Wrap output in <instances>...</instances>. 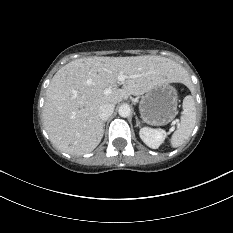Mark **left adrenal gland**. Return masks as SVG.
Masks as SVG:
<instances>
[{
  "label": "left adrenal gland",
  "instance_id": "left-adrenal-gland-1",
  "mask_svg": "<svg viewBox=\"0 0 233 233\" xmlns=\"http://www.w3.org/2000/svg\"><path fill=\"white\" fill-rule=\"evenodd\" d=\"M135 119H136V126L139 127L140 126V121H139L138 117L135 116Z\"/></svg>",
  "mask_w": 233,
  "mask_h": 233
}]
</instances>
